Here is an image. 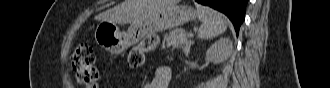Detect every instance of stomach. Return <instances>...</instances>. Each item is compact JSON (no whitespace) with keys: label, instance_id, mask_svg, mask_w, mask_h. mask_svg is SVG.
<instances>
[{"label":"stomach","instance_id":"0dacf381","mask_svg":"<svg viewBox=\"0 0 330 88\" xmlns=\"http://www.w3.org/2000/svg\"><path fill=\"white\" fill-rule=\"evenodd\" d=\"M196 17V11L188 5L168 4L146 19L132 23L125 32H120L113 22L101 21L95 29L94 36L99 46L112 53L120 54L147 35L177 28Z\"/></svg>","mask_w":330,"mask_h":88}]
</instances>
